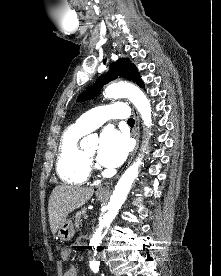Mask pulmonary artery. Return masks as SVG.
Masks as SVG:
<instances>
[{
    "instance_id": "pulmonary-artery-1",
    "label": "pulmonary artery",
    "mask_w": 221,
    "mask_h": 276,
    "mask_svg": "<svg viewBox=\"0 0 221 276\" xmlns=\"http://www.w3.org/2000/svg\"><path fill=\"white\" fill-rule=\"evenodd\" d=\"M130 110L124 103H115L96 107L83 114L75 123V127L84 132H90L101 126L108 119H129Z\"/></svg>"
}]
</instances>
